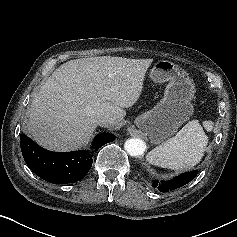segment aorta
<instances>
[{
  "label": "aorta",
  "mask_w": 237,
  "mask_h": 237,
  "mask_svg": "<svg viewBox=\"0 0 237 237\" xmlns=\"http://www.w3.org/2000/svg\"><path fill=\"white\" fill-rule=\"evenodd\" d=\"M125 150L134 157H139L143 155L146 144L142 139L139 138H131L128 139L124 144Z\"/></svg>",
  "instance_id": "aorta-1"
}]
</instances>
